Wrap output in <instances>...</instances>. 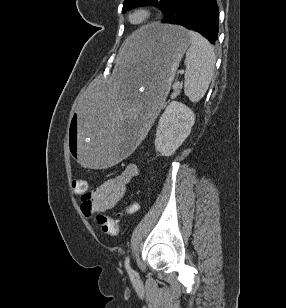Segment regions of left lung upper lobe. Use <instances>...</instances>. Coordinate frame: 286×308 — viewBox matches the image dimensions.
Returning <instances> with one entry per match:
<instances>
[{"instance_id": "5c2ea615", "label": "left lung upper lobe", "mask_w": 286, "mask_h": 308, "mask_svg": "<svg viewBox=\"0 0 286 308\" xmlns=\"http://www.w3.org/2000/svg\"><path fill=\"white\" fill-rule=\"evenodd\" d=\"M172 0H125L123 3L122 12H126L132 8L142 5H153L158 7L165 13Z\"/></svg>"}]
</instances>
